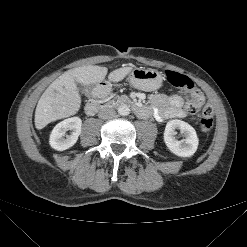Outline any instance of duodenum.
I'll return each mask as SVG.
<instances>
[{
    "mask_svg": "<svg viewBox=\"0 0 247 247\" xmlns=\"http://www.w3.org/2000/svg\"><path fill=\"white\" fill-rule=\"evenodd\" d=\"M107 87V84L104 85ZM122 103L129 106L137 115L145 116L147 114V109L143 106L139 105L137 102L129 99L124 98L121 100ZM110 106L108 104H101L97 99L91 97L88 102L86 103L85 110L88 114H95L99 111L108 110Z\"/></svg>",
    "mask_w": 247,
    "mask_h": 247,
    "instance_id": "410a0bca",
    "label": "duodenum"
}]
</instances>
